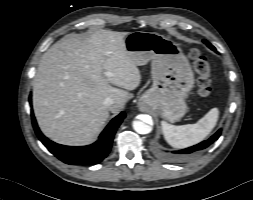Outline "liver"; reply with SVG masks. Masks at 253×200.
Wrapping results in <instances>:
<instances>
[{
    "label": "liver",
    "mask_w": 253,
    "mask_h": 200,
    "mask_svg": "<svg viewBox=\"0 0 253 200\" xmlns=\"http://www.w3.org/2000/svg\"><path fill=\"white\" fill-rule=\"evenodd\" d=\"M127 35L99 30L87 39L68 37L43 54L34 78L33 109L48 138L65 145L90 144L109 111L117 113L124 107L126 90L141 82L125 48ZM107 97L114 99L110 110L103 104Z\"/></svg>",
    "instance_id": "liver-1"
}]
</instances>
